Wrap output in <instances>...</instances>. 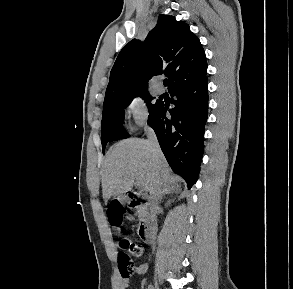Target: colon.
I'll use <instances>...</instances> for the list:
<instances>
[{
  "instance_id": "obj_1",
  "label": "colon",
  "mask_w": 293,
  "mask_h": 289,
  "mask_svg": "<svg viewBox=\"0 0 293 289\" xmlns=\"http://www.w3.org/2000/svg\"><path fill=\"white\" fill-rule=\"evenodd\" d=\"M121 214L122 211L120 206L115 205L109 214V218L113 223L118 224L121 220ZM119 245L122 249L118 256L119 268L121 275L123 277H128L136 270L134 264L131 261V256H141L143 254L144 247L141 243L133 241L127 237L121 238Z\"/></svg>"
}]
</instances>
